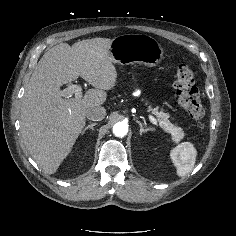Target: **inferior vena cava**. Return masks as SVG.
<instances>
[{
    "instance_id": "obj_1",
    "label": "inferior vena cava",
    "mask_w": 236,
    "mask_h": 236,
    "mask_svg": "<svg viewBox=\"0 0 236 236\" xmlns=\"http://www.w3.org/2000/svg\"><path fill=\"white\" fill-rule=\"evenodd\" d=\"M105 116L106 110L100 105L91 107L86 113V117L92 121H101L105 118Z\"/></svg>"
}]
</instances>
